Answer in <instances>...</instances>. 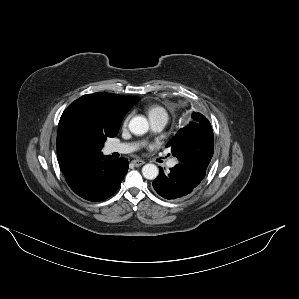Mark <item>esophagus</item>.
Returning <instances> with one entry per match:
<instances>
[{
  "label": "esophagus",
  "mask_w": 299,
  "mask_h": 299,
  "mask_svg": "<svg viewBox=\"0 0 299 299\" xmlns=\"http://www.w3.org/2000/svg\"><path fill=\"white\" fill-rule=\"evenodd\" d=\"M132 163L135 166H142L145 162L143 160H140V159H135V160L132 161Z\"/></svg>",
  "instance_id": "34e87169"
}]
</instances>
